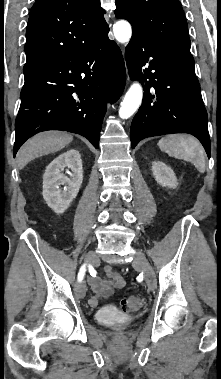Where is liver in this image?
<instances>
[{"instance_id":"1","label":"liver","mask_w":221,"mask_h":379,"mask_svg":"<svg viewBox=\"0 0 221 379\" xmlns=\"http://www.w3.org/2000/svg\"><path fill=\"white\" fill-rule=\"evenodd\" d=\"M73 140V136L66 132L47 131L30 138L19 150L17 162L23 169L35 158L57 152L67 146Z\"/></svg>"}]
</instances>
